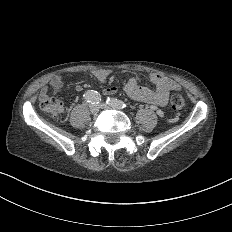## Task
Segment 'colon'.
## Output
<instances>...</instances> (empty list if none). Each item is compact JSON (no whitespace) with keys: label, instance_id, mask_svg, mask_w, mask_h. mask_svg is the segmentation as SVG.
Wrapping results in <instances>:
<instances>
[{"label":"colon","instance_id":"obj_1","mask_svg":"<svg viewBox=\"0 0 232 232\" xmlns=\"http://www.w3.org/2000/svg\"><path fill=\"white\" fill-rule=\"evenodd\" d=\"M185 94L183 90H172L171 102H175L177 108H172V113H181L182 107L184 106ZM54 103V98H41L39 101V106H42L44 113H59L60 109L58 105H52ZM48 119H61V114H48Z\"/></svg>","mask_w":232,"mask_h":232}]
</instances>
